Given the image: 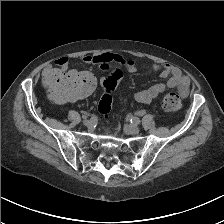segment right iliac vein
Returning <instances> with one entry per match:
<instances>
[{
	"mask_svg": "<svg viewBox=\"0 0 224 224\" xmlns=\"http://www.w3.org/2000/svg\"><path fill=\"white\" fill-rule=\"evenodd\" d=\"M83 123L88 128H91L93 126V123L91 120H85Z\"/></svg>",
	"mask_w": 224,
	"mask_h": 224,
	"instance_id": "right-iliac-vein-1",
	"label": "right iliac vein"
}]
</instances>
